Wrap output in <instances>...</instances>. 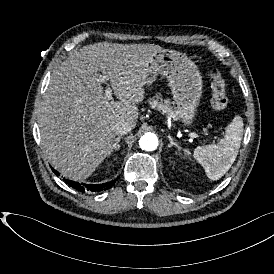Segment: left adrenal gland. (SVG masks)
<instances>
[{
  "label": "left adrenal gland",
  "mask_w": 274,
  "mask_h": 274,
  "mask_svg": "<svg viewBox=\"0 0 274 274\" xmlns=\"http://www.w3.org/2000/svg\"><path fill=\"white\" fill-rule=\"evenodd\" d=\"M168 139H169V141H170V144H168V147H169V148L175 147V148L177 149V152H178L177 155H178V156H181V155L179 154L180 151H181V150H180V147H179L176 143L173 142V139H172L170 136H168Z\"/></svg>",
  "instance_id": "1"
}]
</instances>
